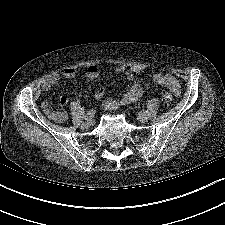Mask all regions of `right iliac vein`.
<instances>
[{
    "label": "right iliac vein",
    "mask_w": 225,
    "mask_h": 225,
    "mask_svg": "<svg viewBox=\"0 0 225 225\" xmlns=\"http://www.w3.org/2000/svg\"><path fill=\"white\" fill-rule=\"evenodd\" d=\"M91 124H92L91 120H87L82 123L81 127L83 129H88L91 126Z\"/></svg>",
    "instance_id": "obj_1"
}]
</instances>
